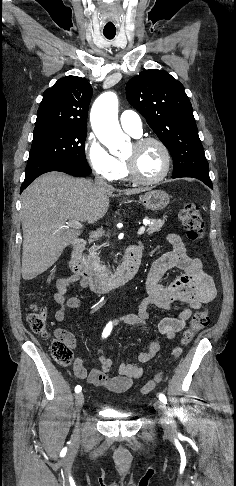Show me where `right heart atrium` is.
I'll use <instances>...</instances> for the list:
<instances>
[{"label":"right heart atrium","instance_id":"obj_1","mask_svg":"<svg viewBox=\"0 0 236 486\" xmlns=\"http://www.w3.org/2000/svg\"><path fill=\"white\" fill-rule=\"evenodd\" d=\"M84 153L96 175L108 181H115L119 178L121 172L119 160L108 152L93 133L87 136L84 144Z\"/></svg>","mask_w":236,"mask_h":486}]
</instances>
